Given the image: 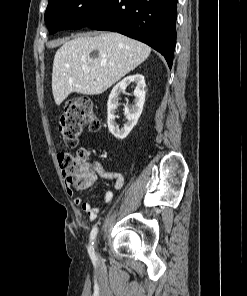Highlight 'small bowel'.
I'll list each match as a JSON object with an SVG mask.
<instances>
[{
    "label": "small bowel",
    "mask_w": 247,
    "mask_h": 296,
    "mask_svg": "<svg viewBox=\"0 0 247 296\" xmlns=\"http://www.w3.org/2000/svg\"><path fill=\"white\" fill-rule=\"evenodd\" d=\"M99 175L103 179H111L115 182V188L121 189L124 183L123 175L119 172H111L104 170L101 165H97ZM68 195L72 198L75 205H81L82 210L87 214L90 220H95L101 210H103L112 200L113 193L107 189L102 188L100 190L102 194V200L98 205H92L90 202L83 201L81 196L75 194L74 190L67 186L66 189Z\"/></svg>",
    "instance_id": "small-bowel-1"
}]
</instances>
